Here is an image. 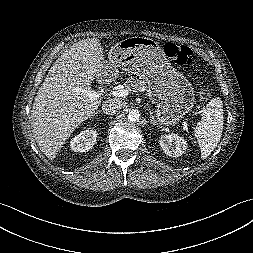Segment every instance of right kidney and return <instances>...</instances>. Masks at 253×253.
Listing matches in <instances>:
<instances>
[{
    "instance_id": "1",
    "label": "right kidney",
    "mask_w": 253,
    "mask_h": 253,
    "mask_svg": "<svg viewBox=\"0 0 253 253\" xmlns=\"http://www.w3.org/2000/svg\"><path fill=\"white\" fill-rule=\"evenodd\" d=\"M97 132L93 129L81 131L79 135L70 141V148L75 152H86L92 149L96 142Z\"/></svg>"
}]
</instances>
